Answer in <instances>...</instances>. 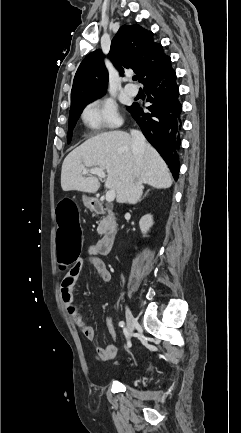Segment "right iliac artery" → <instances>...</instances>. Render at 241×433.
<instances>
[{
    "label": "right iliac artery",
    "mask_w": 241,
    "mask_h": 433,
    "mask_svg": "<svg viewBox=\"0 0 241 433\" xmlns=\"http://www.w3.org/2000/svg\"><path fill=\"white\" fill-rule=\"evenodd\" d=\"M124 324H125V323H124L123 321H121V322L119 323V326H120V327H124Z\"/></svg>",
    "instance_id": "1"
}]
</instances>
